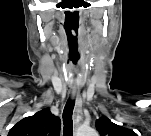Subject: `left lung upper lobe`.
<instances>
[{"mask_svg":"<svg viewBox=\"0 0 151 136\" xmlns=\"http://www.w3.org/2000/svg\"><path fill=\"white\" fill-rule=\"evenodd\" d=\"M96 128L101 136H133V131L116 125L107 117H101L96 121Z\"/></svg>","mask_w":151,"mask_h":136,"instance_id":"1","label":"left lung upper lobe"}]
</instances>
